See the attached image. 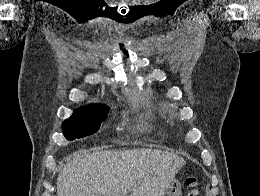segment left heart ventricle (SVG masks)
Listing matches in <instances>:
<instances>
[{
  "mask_svg": "<svg viewBox=\"0 0 260 196\" xmlns=\"http://www.w3.org/2000/svg\"><path fill=\"white\" fill-rule=\"evenodd\" d=\"M116 190H87V192H115Z\"/></svg>",
  "mask_w": 260,
  "mask_h": 196,
  "instance_id": "b2bd125f",
  "label": "left heart ventricle"
}]
</instances>
